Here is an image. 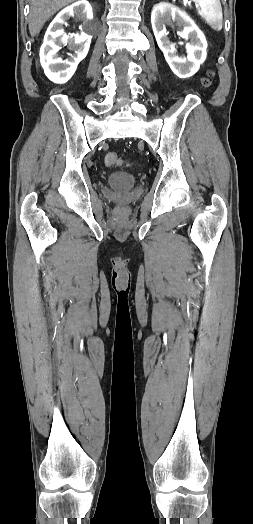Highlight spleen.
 Wrapping results in <instances>:
<instances>
[{"mask_svg":"<svg viewBox=\"0 0 253 524\" xmlns=\"http://www.w3.org/2000/svg\"><path fill=\"white\" fill-rule=\"evenodd\" d=\"M198 14L215 31H220L223 26V13L220 0H194Z\"/></svg>","mask_w":253,"mask_h":524,"instance_id":"1","label":"spleen"}]
</instances>
